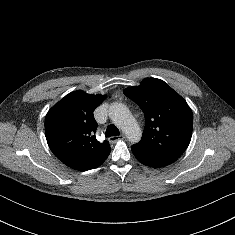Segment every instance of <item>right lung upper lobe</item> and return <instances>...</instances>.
<instances>
[{
    "label": "right lung upper lobe",
    "instance_id": "1",
    "mask_svg": "<svg viewBox=\"0 0 235 235\" xmlns=\"http://www.w3.org/2000/svg\"><path fill=\"white\" fill-rule=\"evenodd\" d=\"M104 99V95L75 91L54 105L45 117V136L51 151L72 169L97 168L110 153L109 143H100L95 137L93 111Z\"/></svg>",
    "mask_w": 235,
    "mask_h": 235
}]
</instances>
